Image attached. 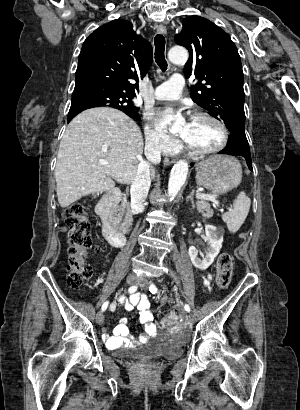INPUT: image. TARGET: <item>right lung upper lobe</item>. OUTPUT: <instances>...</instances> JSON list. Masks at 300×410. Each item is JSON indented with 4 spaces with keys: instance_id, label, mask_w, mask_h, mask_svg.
Returning <instances> with one entry per match:
<instances>
[{
    "instance_id": "right-lung-upper-lobe-1",
    "label": "right lung upper lobe",
    "mask_w": 300,
    "mask_h": 410,
    "mask_svg": "<svg viewBox=\"0 0 300 410\" xmlns=\"http://www.w3.org/2000/svg\"><path fill=\"white\" fill-rule=\"evenodd\" d=\"M152 59L151 44L136 34L130 22L116 19L99 27L84 41L75 81L103 85L133 98L138 90V77L146 74Z\"/></svg>"
}]
</instances>
